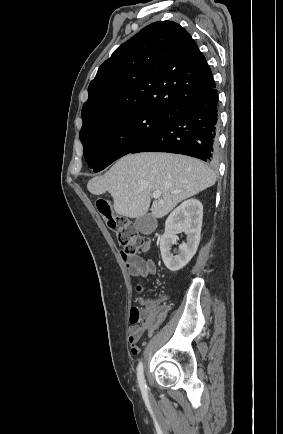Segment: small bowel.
<instances>
[{"label": "small bowel", "instance_id": "obj_1", "mask_svg": "<svg viewBox=\"0 0 283 434\" xmlns=\"http://www.w3.org/2000/svg\"><path fill=\"white\" fill-rule=\"evenodd\" d=\"M122 258L126 263L128 272L133 277L147 278L148 276L156 273L157 265L153 259H143L137 255H126L122 252ZM138 325H131L129 327L128 342L131 344V353L136 355L139 352V347L136 343L140 340L144 329ZM152 331L153 329H148Z\"/></svg>", "mask_w": 283, "mask_h": 434}]
</instances>
